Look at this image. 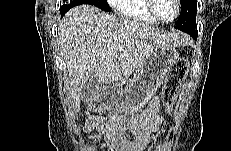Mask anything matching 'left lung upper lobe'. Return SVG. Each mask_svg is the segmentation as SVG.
I'll return each mask as SVG.
<instances>
[{"label": "left lung upper lobe", "instance_id": "5c2ea615", "mask_svg": "<svg viewBox=\"0 0 231 151\" xmlns=\"http://www.w3.org/2000/svg\"><path fill=\"white\" fill-rule=\"evenodd\" d=\"M180 2H181V14L179 20L175 24V28L186 33L197 30V24H196L197 1L180 0Z\"/></svg>", "mask_w": 231, "mask_h": 151}]
</instances>
